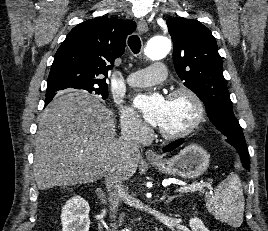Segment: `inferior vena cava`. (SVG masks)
Masks as SVG:
<instances>
[{
  "label": "inferior vena cava",
  "instance_id": "602c4592",
  "mask_svg": "<svg viewBox=\"0 0 268 231\" xmlns=\"http://www.w3.org/2000/svg\"><path fill=\"white\" fill-rule=\"evenodd\" d=\"M123 147L131 152L133 156L139 155V143L133 128H127L122 131ZM125 176L119 167L111 166L107 168L105 175V184L109 194V209L112 231H116V214L120 206L122 195L124 193L123 181Z\"/></svg>",
  "mask_w": 268,
  "mask_h": 231
}]
</instances>
